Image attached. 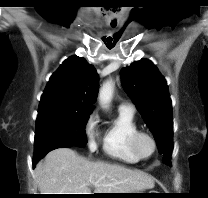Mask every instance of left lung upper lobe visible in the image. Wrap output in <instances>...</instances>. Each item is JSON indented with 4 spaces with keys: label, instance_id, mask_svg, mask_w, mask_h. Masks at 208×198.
Listing matches in <instances>:
<instances>
[{
    "label": "left lung upper lobe",
    "instance_id": "5c2ea615",
    "mask_svg": "<svg viewBox=\"0 0 208 198\" xmlns=\"http://www.w3.org/2000/svg\"><path fill=\"white\" fill-rule=\"evenodd\" d=\"M122 85L154 135L163 162L171 165L173 151L172 103L168 86L148 59L135 61L121 70Z\"/></svg>",
    "mask_w": 208,
    "mask_h": 198
}]
</instances>
